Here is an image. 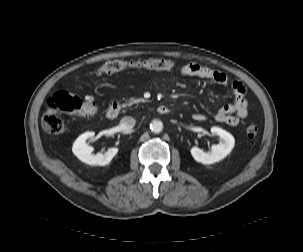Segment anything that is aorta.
I'll use <instances>...</instances> for the list:
<instances>
[{"label":"aorta","mask_w":303,"mask_h":252,"mask_svg":"<svg viewBox=\"0 0 303 252\" xmlns=\"http://www.w3.org/2000/svg\"><path fill=\"white\" fill-rule=\"evenodd\" d=\"M150 129L154 133H160L163 129V123L160 120H153L150 123Z\"/></svg>","instance_id":"obj_1"}]
</instances>
